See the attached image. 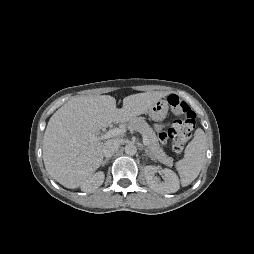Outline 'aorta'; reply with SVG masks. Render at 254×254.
Listing matches in <instances>:
<instances>
[{"label":"aorta","mask_w":254,"mask_h":254,"mask_svg":"<svg viewBox=\"0 0 254 254\" xmlns=\"http://www.w3.org/2000/svg\"><path fill=\"white\" fill-rule=\"evenodd\" d=\"M136 152H137V148H136L135 145H133V144H128V145L125 146V153H126L127 155L133 156V155L136 154Z\"/></svg>","instance_id":"762f6f07"}]
</instances>
